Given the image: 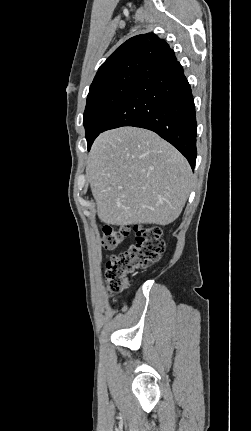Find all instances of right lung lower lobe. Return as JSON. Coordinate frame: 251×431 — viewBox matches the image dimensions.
<instances>
[{"mask_svg":"<svg viewBox=\"0 0 251 431\" xmlns=\"http://www.w3.org/2000/svg\"><path fill=\"white\" fill-rule=\"evenodd\" d=\"M122 126L156 132L176 147L194 169L195 105L190 84L172 50L160 49L152 55L146 71L110 116L103 131Z\"/></svg>","mask_w":251,"mask_h":431,"instance_id":"right-lung-lower-lobe-1","label":"right lung lower lobe"}]
</instances>
